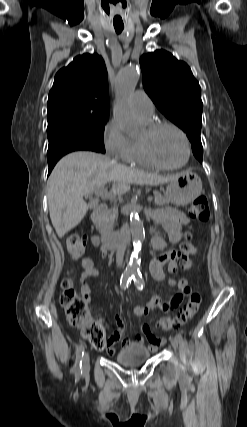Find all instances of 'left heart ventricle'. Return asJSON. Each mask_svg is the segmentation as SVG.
<instances>
[{
	"mask_svg": "<svg viewBox=\"0 0 247 427\" xmlns=\"http://www.w3.org/2000/svg\"><path fill=\"white\" fill-rule=\"evenodd\" d=\"M146 136V132L141 138ZM154 157L165 165H178L185 158V146L181 136L172 128L165 127L157 131L150 139Z\"/></svg>",
	"mask_w": 247,
	"mask_h": 427,
	"instance_id": "obj_1",
	"label": "left heart ventricle"
}]
</instances>
